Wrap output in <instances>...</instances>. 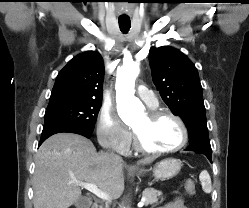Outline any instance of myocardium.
Segmentation results:
<instances>
[{
  "mask_svg": "<svg viewBox=\"0 0 249 208\" xmlns=\"http://www.w3.org/2000/svg\"><path fill=\"white\" fill-rule=\"evenodd\" d=\"M147 115L150 121H156L163 117H169L175 120L181 129L182 139L178 145L170 149H151L143 144L139 134L134 130V145L139 152L153 155L169 154L179 151L187 144L189 140V132L181 117L168 110H150Z\"/></svg>",
  "mask_w": 249,
  "mask_h": 208,
  "instance_id": "myocardium-1",
  "label": "myocardium"
}]
</instances>
